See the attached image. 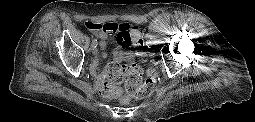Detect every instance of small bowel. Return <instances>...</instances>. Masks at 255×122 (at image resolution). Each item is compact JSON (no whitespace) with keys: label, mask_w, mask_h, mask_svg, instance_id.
<instances>
[{"label":"small bowel","mask_w":255,"mask_h":122,"mask_svg":"<svg viewBox=\"0 0 255 122\" xmlns=\"http://www.w3.org/2000/svg\"><path fill=\"white\" fill-rule=\"evenodd\" d=\"M95 36L98 39L99 46L101 48H105L108 43V34L100 31V32H95ZM117 45L119 47L128 46V45H125L124 38L120 36L117 37ZM112 55L114 58V62H134L135 60V54L132 51L113 50ZM102 57L107 58L108 53L103 52ZM97 66H98V62H95L93 68L96 69Z\"/></svg>","instance_id":"obj_1"}]
</instances>
